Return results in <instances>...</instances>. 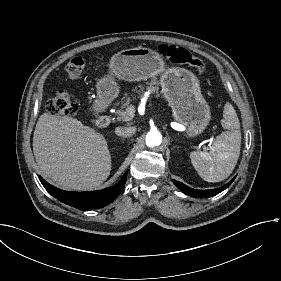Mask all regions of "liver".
<instances>
[{
	"label": "liver",
	"instance_id": "6515ba94",
	"mask_svg": "<svg viewBox=\"0 0 281 281\" xmlns=\"http://www.w3.org/2000/svg\"><path fill=\"white\" fill-rule=\"evenodd\" d=\"M33 153L44 177L62 188L91 190L110 175L105 137L71 117L42 114L33 135Z\"/></svg>",
	"mask_w": 281,
	"mask_h": 281
}]
</instances>
